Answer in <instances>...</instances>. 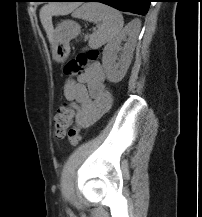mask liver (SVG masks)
<instances>
[{
    "label": "liver",
    "instance_id": "1",
    "mask_svg": "<svg viewBox=\"0 0 202 217\" xmlns=\"http://www.w3.org/2000/svg\"><path fill=\"white\" fill-rule=\"evenodd\" d=\"M76 6V4H49L41 8L40 20L50 42L53 41L52 16L67 15L71 13L76 8Z\"/></svg>",
    "mask_w": 202,
    "mask_h": 217
}]
</instances>
